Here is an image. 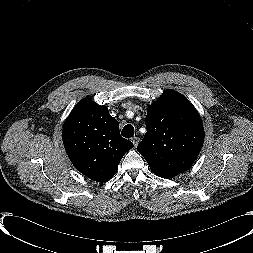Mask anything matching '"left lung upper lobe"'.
<instances>
[{
    "instance_id": "1",
    "label": "left lung upper lobe",
    "mask_w": 253,
    "mask_h": 253,
    "mask_svg": "<svg viewBox=\"0 0 253 253\" xmlns=\"http://www.w3.org/2000/svg\"><path fill=\"white\" fill-rule=\"evenodd\" d=\"M147 132L137 146L151 170L170 178L187 170L204 141L199 114L182 94L168 90L147 109Z\"/></svg>"
}]
</instances>
